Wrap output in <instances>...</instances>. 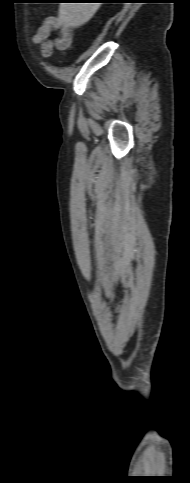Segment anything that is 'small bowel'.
<instances>
[{
  "mask_svg": "<svg viewBox=\"0 0 190 483\" xmlns=\"http://www.w3.org/2000/svg\"><path fill=\"white\" fill-rule=\"evenodd\" d=\"M56 31L57 35L53 36ZM72 40V31L60 24L55 17H47L32 38L33 43L40 46L41 55L44 58L50 57L55 48L66 49Z\"/></svg>",
  "mask_w": 190,
  "mask_h": 483,
  "instance_id": "obj_1",
  "label": "small bowel"
}]
</instances>
